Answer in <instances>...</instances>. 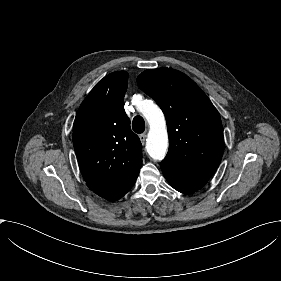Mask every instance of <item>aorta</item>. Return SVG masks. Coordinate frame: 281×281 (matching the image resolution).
<instances>
[{"mask_svg": "<svg viewBox=\"0 0 281 281\" xmlns=\"http://www.w3.org/2000/svg\"><path fill=\"white\" fill-rule=\"evenodd\" d=\"M135 104L150 125L146 142L148 154L155 160L164 159L168 149V134L162 111L150 100L135 101Z\"/></svg>", "mask_w": 281, "mask_h": 281, "instance_id": "762f6f07", "label": "aorta"}]
</instances>
